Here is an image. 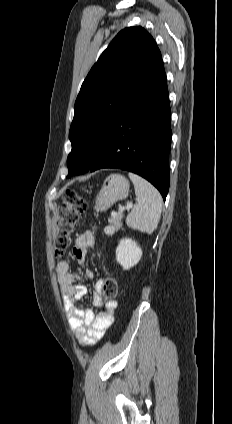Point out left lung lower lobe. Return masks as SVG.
<instances>
[{"mask_svg":"<svg viewBox=\"0 0 232 424\" xmlns=\"http://www.w3.org/2000/svg\"><path fill=\"white\" fill-rule=\"evenodd\" d=\"M171 111L163 61L132 96L104 139L90 171L119 168L169 190Z\"/></svg>","mask_w":232,"mask_h":424,"instance_id":"left-lung-lower-lobe-1","label":"left lung lower lobe"}]
</instances>
